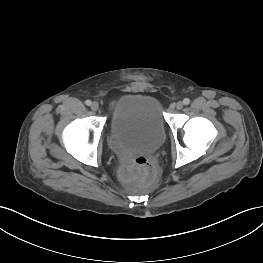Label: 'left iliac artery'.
I'll use <instances>...</instances> for the list:
<instances>
[{
  "mask_svg": "<svg viewBox=\"0 0 263 263\" xmlns=\"http://www.w3.org/2000/svg\"><path fill=\"white\" fill-rule=\"evenodd\" d=\"M183 103H184L185 105H188V104L190 103V99H189V98H185V99L183 100Z\"/></svg>",
  "mask_w": 263,
  "mask_h": 263,
  "instance_id": "1",
  "label": "left iliac artery"
}]
</instances>
